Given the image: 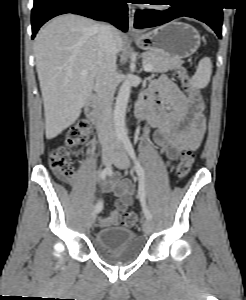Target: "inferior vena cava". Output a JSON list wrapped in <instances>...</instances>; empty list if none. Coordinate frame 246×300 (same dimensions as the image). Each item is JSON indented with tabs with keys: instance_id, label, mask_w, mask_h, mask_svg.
Segmentation results:
<instances>
[{
	"instance_id": "inferior-vena-cava-1",
	"label": "inferior vena cava",
	"mask_w": 246,
	"mask_h": 300,
	"mask_svg": "<svg viewBox=\"0 0 246 300\" xmlns=\"http://www.w3.org/2000/svg\"><path fill=\"white\" fill-rule=\"evenodd\" d=\"M97 40L98 67L95 78L97 131L103 152H109L117 147L112 116V104L116 90L117 48L113 37V28L110 24L99 25Z\"/></svg>"
}]
</instances>
